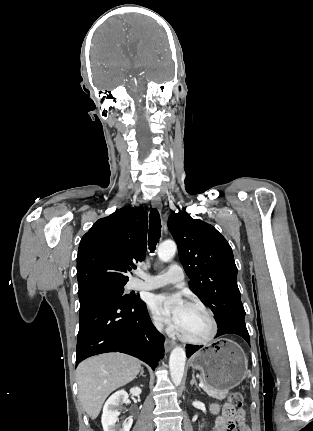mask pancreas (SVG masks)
I'll return each mask as SVG.
<instances>
[{
	"mask_svg": "<svg viewBox=\"0 0 313 431\" xmlns=\"http://www.w3.org/2000/svg\"><path fill=\"white\" fill-rule=\"evenodd\" d=\"M203 390L211 397V398H215L218 400H223L228 391L227 390H216L208 385L205 384V386L203 387Z\"/></svg>",
	"mask_w": 313,
	"mask_h": 431,
	"instance_id": "obj_1",
	"label": "pancreas"
}]
</instances>
